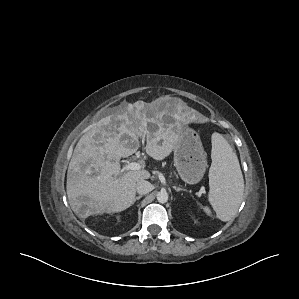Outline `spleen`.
I'll return each mask as SVG.
<instances>
[{"mask_svg":"<svg viewBox=\"0 0 299 299\" xmlns=\"http://www.w3.org/2000/svg\"><path fill=\"white\" fill-rule=\"evenodd\" d=\"M211 158L209 201L217 218L226 222L232 219L242 202L244 179L235 152L219 133L212 135ZM204 211L211 214L207 207Z\"/></svg>","mask_w":299,"mask_h":299,"instance_id":"obj_1","label":"spleen"}]
</instances>
